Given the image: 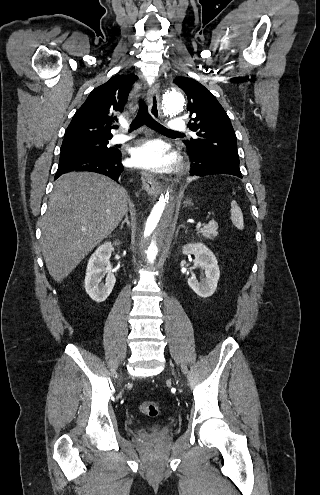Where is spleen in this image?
<instances>
[{"label": "spleen", "mask_w": 320, "mask_h": 495, "mask_svg": "<svg viewBox=\"0 0 320 495\" xmlns=\"http://www.w3.org/2000/svg\"><path fill=\"white\" fill-rule=\"evenodd\" d=\"M230 205H231V209H230L231 221L236 228L242 230L244 228L242 211L236 201L232 200Z\"/></svg>", "instance_id": "1"}]
</instances>
